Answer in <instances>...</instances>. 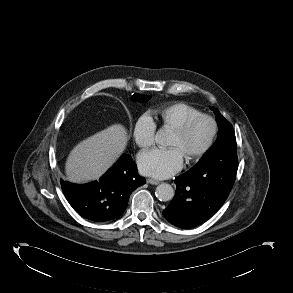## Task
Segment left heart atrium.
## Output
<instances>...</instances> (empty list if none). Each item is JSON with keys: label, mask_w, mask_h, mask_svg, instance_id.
<instances>
[{"label": "left heart atrium", "mask_w": 293, "mask_h": 293, "mask_svg": "<svg viewBox=\"0 0 293 293\" xmlns=\"http://www.w3.org/2000/svg\"><path fill=\"white\" fill-rule=\"evenodd\" d=\"M139 168L145 175L165 179L183 167V154L176 147L152 149L139 156Z\"/></svg>", "instance_id": "left-heart-atrium-1"}]
</instances>
